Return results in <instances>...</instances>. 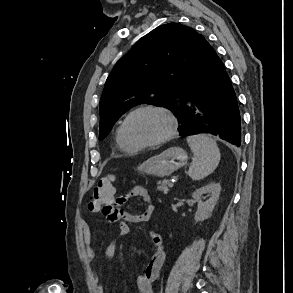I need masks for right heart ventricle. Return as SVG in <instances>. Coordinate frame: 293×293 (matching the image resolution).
Wrapping results in <instances>:
<instances>
[{"label":"right heart ventricle","instance_id":"1","mask_svg":"<svg viewBox=\"0 0 293 293\" xmlns=\"http://www.w3.org/2000/svg\"><path fill=\"white\" fill-rule=\"evenodd\" d=\"M121 123H119V125L117 126L116 131H115V142H116V145L123 152H134L136 150L127 147L125 145V143L123 142V140H122V136H121Z\"/></svg>","mask_w":293,"mask_h":293}]
</instances>
